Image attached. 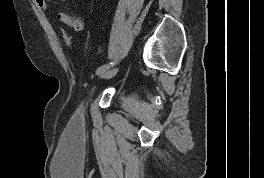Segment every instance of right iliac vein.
<instances>
[{
	"mask_svg": "<svg viewBox=\"0 0 264 178\" xmlns=\"http://www.w3.org/2000/svg\"><path fill=\"white\" fill-rule=\"evenodd\" d=\"M118 71V68H113V69H107L105 71H103L102 73L99 74L101 79H109L112 76H114Z\"/></svg>",
	"mask_w": 264,
	"mask_h": 178,
	"instance_id": "right-iliac-vein-1",
	"label": "right iliac vein"
}]
</instances>
